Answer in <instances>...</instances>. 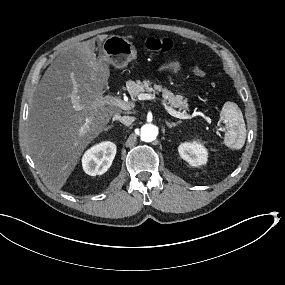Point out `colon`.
Returning <instances> with one entry per match:
<instances>
[{
  "label": "colon",
  "instance_id": "obj_1",
  "mask_svg": "<svg viewBox=\"0 0 285 285\" xmlns=\"http://www.w3.org/2000/svg\"><path fill=\"white\" fill-rule=\"evenodd\" d=\"M174 44L173 41L169 38H155L149 37L145 41V47L151 52L157 53H167L172 50ZM193 73L197 77H205L206 72L201 68L194 67L192 69Z\"/></svg>",
  "mask_w": 285,
  "mask_h": 285
}]
</instances>
